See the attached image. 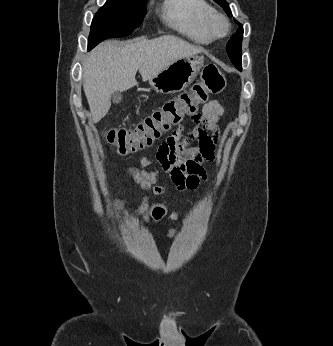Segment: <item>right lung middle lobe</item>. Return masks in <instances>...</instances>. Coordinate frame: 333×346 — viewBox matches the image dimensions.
<instances>
[{
  "label": "right lung middle lobe",
  "mask_w": 333,
  "mask_h": 346,
  "mask_svg": "<svg viewBox=\"0 0 333 346\" xmlns=\"http://www.w3.org/2000/svg\"><path fill=\"white\" fill-rule=\"evenodd\" d=\"M146 0H107L93 18L88 50L107 38L125 37L142 23Z\"/></svg>",
  "instance_id": "obj_1"
}]
</instances>
